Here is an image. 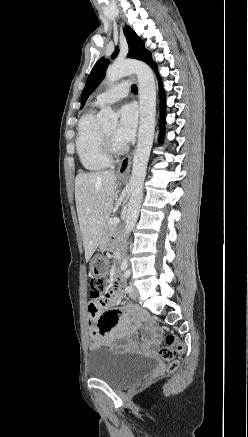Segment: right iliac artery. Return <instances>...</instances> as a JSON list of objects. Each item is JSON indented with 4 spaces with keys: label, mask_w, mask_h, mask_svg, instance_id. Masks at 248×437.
<instances>
[{
    "label": "right iliac artery",
    "mask_w": 248,
    "mask_h": 437,
    "mask_svg": "<svg viewBox=\"0 0 248 437\" xmlns=\"http://www.w3.org/2000/svg\"><path fill=\"white\" fill-rule=\"evenodd\" d=\"M127 268V261H124L121 266V270H125Z\"/></svg>",
    "instance_id": "82829eb1"
}]
</instances>
